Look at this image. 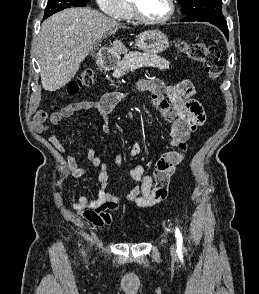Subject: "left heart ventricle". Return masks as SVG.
I'll list each match as a JSON object with an SVG mask.
<instances>
[{
	"mask_svg": "<svg viewBox=\"0 0 259 294\" xmlns=\"http://www.w3.org/2000/svg\"><path fill=\"white\" fill-rule=\"evenodd\" d=\"M141 12L148 18L165 16L169 9L168 0H135Z\"/></svg>",
	"mask_w": 259,
	"mask_h": 294,
	"instance_id": "obj_1",
	"label": "left heart ventricle"
}]
</instances>
